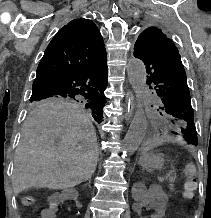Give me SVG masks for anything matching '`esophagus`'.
<instances>
[{
    "mask_svg": "<svg viewBox=\"0 0 211 218\" xmlns=\"http://www.w3.org/2000/svg\"><path fill=\"white\" fill-rule=\"evenodd\" d=\"M128 93H127V98H126V103H132V104H126V109H127V111L126 112H123V117H132L133 116V111H132V109H133V102H134V91H133V89H128V91H127ZM119 123H123V122H130L131 120L128 118V119H121V118H119L118 120H117Z\"/></svg>",
    "mask_w": 211,
    "mask_h": 218,
    "instance_id": "obj_1",
    "label": "esophagus"
}]
</instances>
